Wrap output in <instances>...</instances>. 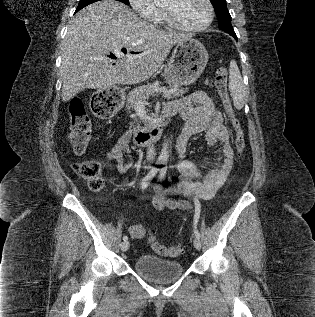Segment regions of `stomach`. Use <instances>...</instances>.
<instances>
[{
	"label": "stomach",
	"mask_w": 315,
	"mask_h": 317,
	"mask_svg": "<svg viewBox=\"0 0 315 317\" xmlns=\"http://www.w3.org/2000/svg\"><path fill=\"white\" fill-rule=\"evenodd\" d=\"M207 62L208 53L204 45L189 38L176 44L165 67L164 77L172 85H189L202 74ZM105 95H116V88H105Z\"/></svg>",
	"instance_id": "stomach-1"
}]
</instances>
